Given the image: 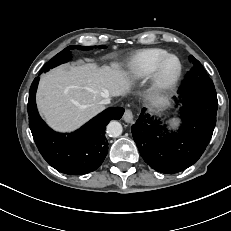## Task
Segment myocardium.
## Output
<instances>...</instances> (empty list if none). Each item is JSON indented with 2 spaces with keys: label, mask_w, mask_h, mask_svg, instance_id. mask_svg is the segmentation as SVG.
<instances>
[{
  "label": "myocardium",
  "mask_w": 231,
  "mask_h": 231,
  "mask_svg": "<svg viewBox=\"0 0 231 231\" xmlns=\"http://www.w3.org/2000/svg\"><path fill=\"white\" fill-rule=\"evenodd\" d=\"M176 59L178 62V70L175 73V75L165 80L162 78V70L164 65L167 63L170 59ZM183 74V63L181 59L175 55V54H167L164 56L156 65L153 72L151 73L149 77L148 82V95L152 99H159L169 92H171L179 83L181 77Z\"/></svg>",
  "instance_id": "1"
}]
</instances>
